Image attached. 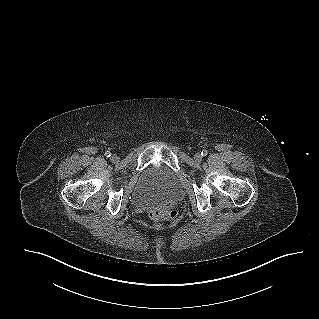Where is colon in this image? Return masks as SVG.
<instances>
[{
	"label": "colon",
	"mask_w": 319,
	"mask_h": 319,
	"mask_svg": "<svg viewBox=\"0 0 319 319\" xmlns=\"http://www.w3.org/2000/svg\"><path fill=\"white\" fill-rule=\"evenodd\" d=\"M149 216L154 220H172L176 217V212L153 209L149 212Z\"/></svg>",
	"instance_id": "obj_1"
}]
</instances>
